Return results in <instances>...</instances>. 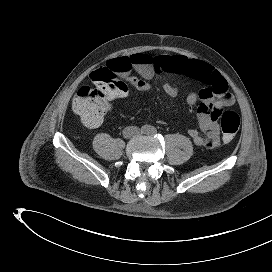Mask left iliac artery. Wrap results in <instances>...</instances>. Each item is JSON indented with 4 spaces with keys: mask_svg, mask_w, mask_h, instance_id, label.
<instances>
[{
    "mask_svg": "<svg viewBox=\"0 0 272 272\" xmlns=\"http://www.w3.org/2000/svg\"><path fill=\"white\" fill-rule=\"evenodd\" d=\"M149 133H150L151 135H154V134H156V133H157V130H156V128H154V127H151V128H150V131H149Z\"/></svg>",
    "mask_w": 272,
    "mask_h": 272,
    "instance_id": "44dca946",
    "label": "left iliac artery"
}]
</instances>
